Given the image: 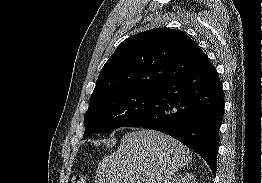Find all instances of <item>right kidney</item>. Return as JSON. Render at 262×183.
<instances>
[{
	"mask_svg": "<svg viewBox=\"0 0 262 183\" xmlns=\"http://www.w3.org/2000/svg\"><path fill=\"white\" fill-rule=\"evenodd\" d=\"M169 183H195V179L192 174H179L175 175L172 182Z\"/></svg>",
	"mask_w": 262,
	"mask_h": 183,
	"instance_id": "right-kidney-1",
	"label": "right kidney"
}]
</instances>
